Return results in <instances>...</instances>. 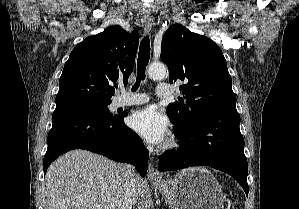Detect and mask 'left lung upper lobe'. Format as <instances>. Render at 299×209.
Listing matches in <instances>:
<instances>
[{"mask_svg":"<svg viewBox=\"0 0 299 209\" xmlns=\"http://www.w3.org/2000/svg\"><path fill=\"white\" fill-rule=\"evenodd\" d=\"M161 60L169 68L170 83L183 81V98L167 108L176 129L191 126L212 111L236 108L226 60L211 39L172 25L162 39Z\"/></svg>","mask_w":299,"mask_h":209,"instance_id":"5c2ea615","label":"left lung upper lobe"}]
</instances>
